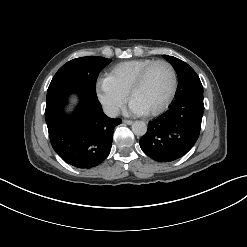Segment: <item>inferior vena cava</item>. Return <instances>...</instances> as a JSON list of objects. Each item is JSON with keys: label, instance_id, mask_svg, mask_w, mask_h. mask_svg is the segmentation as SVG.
Segmentation results:
<instances>
[{"label": "inferior vena cava", "instance_id": "602c4592", "mask_svg": "<svg viewBox=\"0 0 247 247\" xmlns=\"http://www.w3.org/2000/svg\"><path fill=\"white\" fill-rule=\"evenodd\" d=\"M103 111L107 116L112 117V118L118 116L119 114V109L114 106H105L103 108Z\"/></svg>", "mask_w": 247, "mask_h": 247}]
</instances>
